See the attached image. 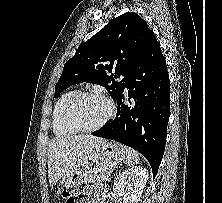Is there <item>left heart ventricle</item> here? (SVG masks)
Segmentation results:
<instances>
[{
	"label": "left heart ventricle",
	"instance_id": "obj_1",
	"mask_svg": "<svg viewBox=\"0 0 222 203\" xmlns=\"http://www.w3.org/2000/svg\"><path fill=\"white\" fill-rule=\"evenodd\" d=\"M108 110L107 103L101 98L84 97L76 103L73 117L80 125L89 127L103 120Z\"/></svg>",
	"mask_w": 222,
	"mask_h": 203
}]
</instances>
